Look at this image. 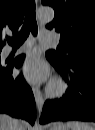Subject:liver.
<instances>
[{
  "mask_svg": "<svg viewBox=\"0 0 95 130\" xmlns=\"http://www.w3.org/2000/svg\"><path fill=\"white\" fill-rule=\"evenodd\" d=\"M18 128L26 130V122L13 119L7 114L0 115V130H18Z\"/></svg>",
  "mask_w": 95,
  "mask_h": 130,
  "instance_id": "obj_1",
  "label": "liver"
}]
</instances>
